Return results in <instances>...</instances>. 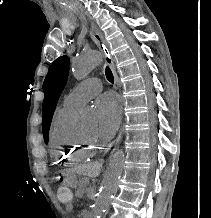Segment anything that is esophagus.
Listing matches in <instances>:
<instances>
[{
    "label": "esophagus",
    "instance_id": "obj_1",
    "mask_svg": "<svg viewBox=\"0 0 211 218\" xmlns=\"http://www.w3.org/2000/svg\"><path fill=\"white\" fill-rule=\"evenodd\" d=\"M90 36H91L92 40L98 45V47L103 50V52L105 54L106 63L108 65V67H110V69H111V71L113 73L114 81H115L116 85L118 86L119 92L121 94V86L119 84L116 68H115V65L113 63V59H112V56L110 54V51H109V46H108L107 42L105 41L102 32L94 24L90 25ZM123 106H124V98L121 95L120 96V116H121L120 122L121 123H126L127 119L123 118ZM121 123L118 125L119 126L118 129L120 130V132H115V136H112V138H111L112 139L111 140L112 144H119V142L121 140V137H122L121 130L123 129L122 128L123 125ZM116 149H117L116 145H108L107 146V152L108 153H113L114 150H116ZM104 159L105 160H110L111 156L110 155H105Z\"/></svg>",
    "mask_w": 211,
    "mask_h": 218
}]
</instances>
